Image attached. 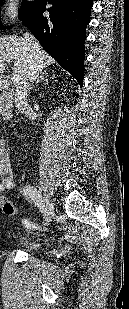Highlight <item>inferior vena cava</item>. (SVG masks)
I'll use <instances>...</instances> for the list:
<instances>
[{"instance_id":"obj_1","label":"inferior vena cava","mask_w":129,"mask_h":309,"mask_svg":"<svg viewBox=\"0 0 129 309\" xmlns=\"http://www.w3.org/2000/svg\"><path fill=\"white\" fill-rule=\"evenodd\" d=\"M24 39L27 43L28 50L31 52V56H30L31 66L26 76L24 77L23 86L21 88L22 91H20L21 94L19 95L20 104H24L23 110L28 109L27 107L28 105L26 103V96H27V91L30 89L31 82H33L34 79L38 78L39 73L41 71V65H40V59H39V53H40L39 44L36 42L34 37L28 32L24 34Z\"/></svg>"}]
</instances>
